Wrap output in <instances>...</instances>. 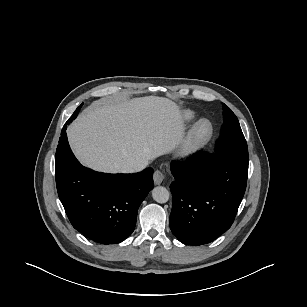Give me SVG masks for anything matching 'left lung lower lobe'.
<instances>
[{
	"label": "left lung lower lobe",
	"instance_id": "obj_1",
	"mask_svg": "<svg viewBox=\"0 0 307 307\" xmlns=\"http://www.w3.org/2000/svg\"><path fill=\"white\" fill-rule=\"evenodd\" d=\"M170 228L180 242H212L232 225L246 189L248 162L231 155L171 162Z\"/></svg>",
	"mask_w": 307,
	"mask_h": 307
}]
</instances>
